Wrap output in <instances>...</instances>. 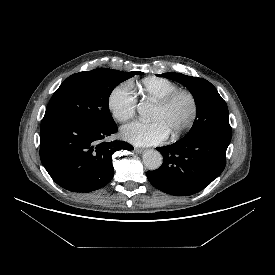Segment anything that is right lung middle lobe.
Wrapping results in <instances>:
<instances>
[{
	"mask_svg": "<svg viewBox=\"0 0 275 275\" xmlns=\"http://www.w3.org/2000/svg\"><path fill=\"white\" fill-rule=\"evenodd\" d=\"M142 72L97 68L68 77L53 94L44 119L68 117L102 125L115 124L109 96L122 81Z\"/></svg>",
	"mask_w": 275,
	"mask_h": 275,
	"instance_id": "right-lung-middle-lobe-1",
	"label": "right lung middle lobe"
}]
</instances>
